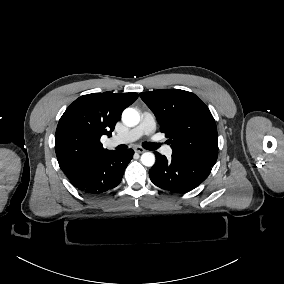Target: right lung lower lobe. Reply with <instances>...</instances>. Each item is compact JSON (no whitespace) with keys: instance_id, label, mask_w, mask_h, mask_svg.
<instances>
[{"instance_id":"98d812e1","label":"right lung lower lobe","mask_w":284,"mask_h":284,"mask_svg":"<svg viewBox=\"0 0 284 284\" xmlns=\"http://www.w3.org/2000/svg\"><path fill=\"white\" fill-rule=\"evenodd\" d=\"M133 153L132 149L112 150L69 180L84 193L92 195L104 193L119 185Z\"/></svg>"}]
</instances>
